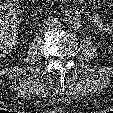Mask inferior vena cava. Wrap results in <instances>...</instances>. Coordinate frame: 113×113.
I'll list each match as a JSON object with an SVG mask.
<instances>
[{
  "label": "inferior vena cava",
  "instance_id": "inferior-vena-cava-1",
  "mask_svg": "<svg viewBox=\"0 0 113 113\" xmlns=\"http://www.w3.org/2000/svg\"><path fill=\"white\" fill-rule=\"evenodd\" d=\"M43 25L45 29L53 30V29L59 28L61 25V22L59 21V19L55 17H48L44 20Z\"/></svg>",
  "mask_w": 113,
  "mask_h": 113
}]
</instances>
